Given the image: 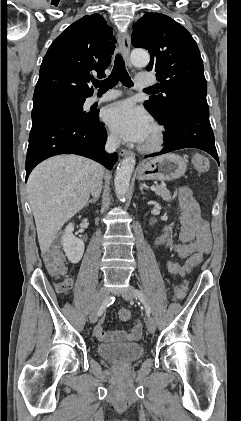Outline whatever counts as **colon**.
Returning a JSON list of instances; mask_svg holds the SVG:
<instances>
[{"label":"colon","instance_id":"5ec220e1","mask_svg":"<svg viewBox=\"0 0 241 421\" xmlns=\"http://www.w3.org/2000/svg\"><path fill=\"white\" fill-rule=\"evenodd\" d=\"M192 164L201 173L208 171L209 160L200 153H195L192 156ZM44 262L48 272L56 277H62L65 275L66 267L64 257L58 248L51 247L47 249L43 254ZM203 260V255L195 254L189 257L184 264H180L173 261L165 263V268L169 274L172 275H185L193 268L199 266ZM66 281V280H65ZM64 281L58 286H62ZM188 290V283L185 281L179 286H176L174 295L176 299H182L186 296ZM119 317L123 321H127L131 317V313L128 309H121L119 311Z\"/></svg>","mask_w":241,"mask_h":421}]
</instances>
